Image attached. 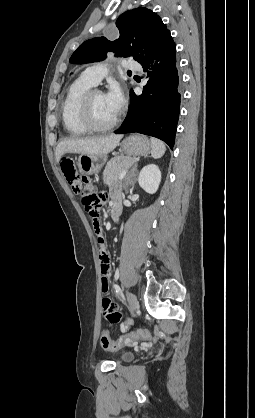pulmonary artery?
<instances>
[{
  "label": "pulmonary artery",
  "mask_w": 255,
  "mask_h": 418,
  "mask_svg": "<svg viewBox=\"0 0 255 418\" xmlns=\"http://www.w3.org/2000/svg\"><path fill=\"white\" fill-rule=\"evenodd\" d=\"M124 67L128 70H139L140 65L135 61H126ZM106 68L102 65L92 66L83 72V76L93 85H97L106 75Z\"/></svg>",
  "instance_id": "pulmonary-artery-1"
}]
</instances>
